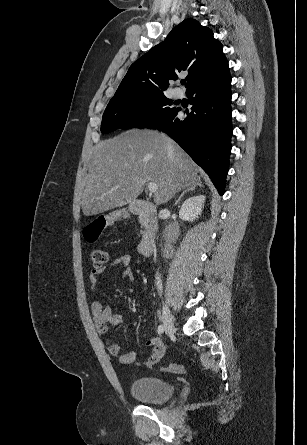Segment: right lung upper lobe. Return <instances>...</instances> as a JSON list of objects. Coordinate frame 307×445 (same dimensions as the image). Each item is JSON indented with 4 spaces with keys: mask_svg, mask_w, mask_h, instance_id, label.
<instances>
[{
    "mask_svg": "<svg viewBox=\"0 0 307 445\" xmlns=\"http://www.w3.org/2000/svg\"><path fill=\"white\" fill-rule=\"evenodd\" d=\"M227 62L222 44L211 29L194 19H185L162 43L130 66L112 99L163 93L168 81L176 80L184 70L188 71L189 89Z\"/></svg>",
    "mask_w": 307,
    "mask_h": 445,
    "instance_id": "cb5924a9",
    "label": "right lung upper lobe"
}]
</instances>
